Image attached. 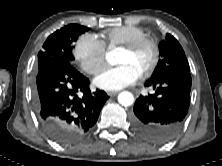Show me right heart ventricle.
Listing matches in <instances>:
<instances>
[{
	"label": "right heart ventricle",
	"mask_w": 222,
	"mask_h": 166,
	"mask_svg": "<svg viewBox=\"0 0 222 166\" xmlns=\"http://www.w3.org/2000/svg\"><path fill=\"white\" fill-rule=\"evenodd\" d=\"M145 37L144 31L134 26L115 27L104 33L109 46H125Z\"/></svg>",
	"instance_id": "right-heart-ventricle-1"
}]
</instances>
